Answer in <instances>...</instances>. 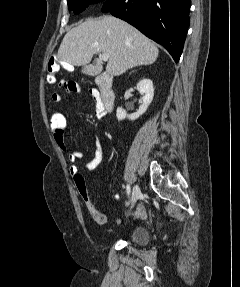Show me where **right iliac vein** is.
<instances>
[{
    "mask_svg": "<svg viewBox=\"0 0 240 287\" xmlns=\"http://www.w3.org/2000/svg\"><path fill=\"white\" fill-rule=\"evenodd\" d=\"M141 196V190L138 185L133 187L132 191V205H134Z\"/></svg>",
    "mask_w": 240,
    "mask_h": 287,
    "instance_id": "obj_1",
    "label": "right iliac vein"
}]
</instances>
